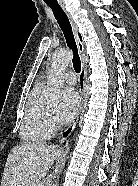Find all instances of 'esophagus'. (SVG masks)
<instances>
[{"instance_id":"esophagus-1","label":"esophagus","mask_w":138,"mask_h":186,"mask_svg":"<svg viewBox=\"0 0 138 186\" xmlns=\"http://www.w3.org/2000/svg\"><path fill=\"white\" fill-rule=\"evenodd\" d=\"M59 3L61 5L62 9L67 14L69 20H70V23H71L72 28H73L75 40H76V43H77L78 51H79V54H80L81 59H82V71H81L80 76H79L80 106H79V109H78V112H77L76 116L74 117V119L72 120V122L70 123L68 128L64 132H62L61 135L59 136V142H62L63 140L68 138L71 135V133L74 131V129L76 128V125L78 123L80 114L82 112V109H83V106H84V103H85L84 94H85V86H86V67H85V62H84V58H83V56L85 54V48H84V45L80 41V38L78 36L76 25H75V23L72 19L71 14L66 10L64 2L60 1Z\"/></svg>"}]
</instances>
